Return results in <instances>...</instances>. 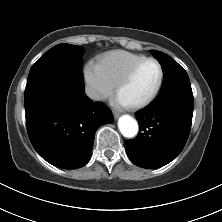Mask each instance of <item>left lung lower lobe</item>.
<instances>
[{
  "label": "left lung lower lobe",
  "instance_id": "1",
  "mask_svg": "<svg viewBox=\"0 0 222 222\" xmlns=\"http://www.w3.org/2000/svg\"><path fill=\"white\" fill-rule=\"evenodd\" d=\"M193 106L192 89H172L137 112L139 134L124 143L131 162L152 169L175 159L188 139Z\"/></svg>",
  "mask_w": 222,
  "mask_h": 222
}]
</instances>
